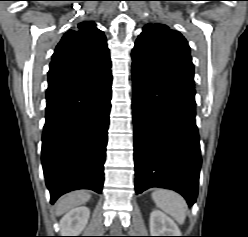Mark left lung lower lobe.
<instances>
[{
  "mask_svg": "<svg viewBox=\"0 0 248 237\" xmlns=\"http://www.w3.org/2000/svg\"><path fill=\"white\" fill-rule=\"evenodd\" d=\"M135 189H172L189 206L198 193L201 155L195 89L167 83L132 64Z\"/></svg>",
  "mask_w": 248,
  "mask_h": 237,
  "instance_id": "1",
  "label": "left lung lower lobe"
}]
</instances>
